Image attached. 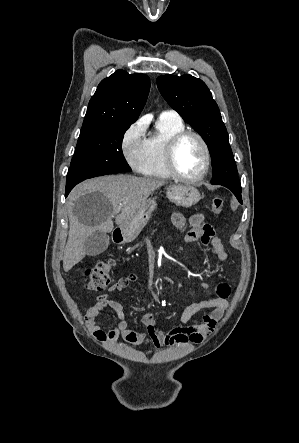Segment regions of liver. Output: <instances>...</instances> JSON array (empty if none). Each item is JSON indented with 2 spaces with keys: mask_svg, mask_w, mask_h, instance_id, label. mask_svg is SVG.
I'll use <instances>...</instances> for the list:
<instances>
[{
  "mask_svg": "<svg viewBox=\"0 0 299 443\" xmlns=\"http://www.w3.org/2000/svg\"><path fill=\"white\" fill-rule=\"evenodd\" d=\"M163 185V180L122 174L77 185L68 197L69 234L63 256L64 271L68 272L85 257L84 244L89 236L97 231L111 232L115 215L117 225L126 223Z\"/></svg>",
  "mask_w": 299,
  "mask_h": 443,
  "instance_id": "6515ba94",
  "label": "liver"
}]
</instances>
